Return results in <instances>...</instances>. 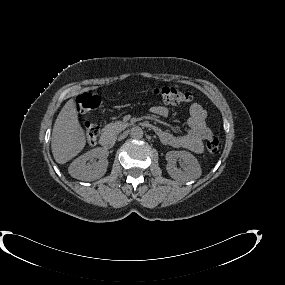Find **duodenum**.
Masks as SVG:
<instances>
[{"label": "duodenum", "mask_w": 285, "mask_h": 285, "mask_svg": "<svg viewBox=\"0 0 285 285\" xmlns=\"http://www.w3.org/2000/svg\"><path fill=\"white\" fill-rule=\"evenodd\" d=\"M147 126H150L147 123ZM114 136L109 132H103L100 136V144L105 148H110L113 146Z\"/></svg>", "instance_id": "1"}]
</instances>
